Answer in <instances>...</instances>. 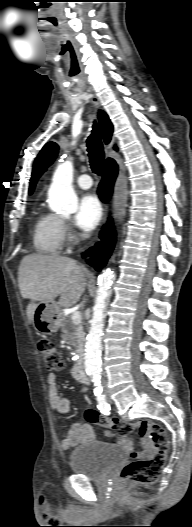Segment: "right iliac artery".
Segmentation results:
<instances>
[{
	"label": "right iliac artery",
	"mask_w": 192,
	"mask_h": 527,
	"mask_svg": "<svg viewBox=\"0 0 192 527\" xmlns=\"http://www.w3.org/2000/svg\"><path fill=\"white\" fill-rule=\"evenodd\" d=\"M102 387L97 386L94 390V394L96 396L97 402H98V408L101 410L104 414H109L110 406L106 401L105 395L102 393Z\"/></svg>",
	"instance_id": "1"
}]
</instances>
